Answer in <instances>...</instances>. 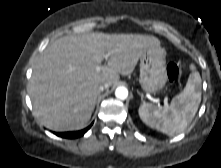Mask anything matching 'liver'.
<instances>
[{
	"mask_svg": "<svg viewBox=\"0 0 221 168\" xmlns=\"http://www.w3.org/2000/svg\"><path fill=\"white\" fill-rule=\"evenodd\" d=\"M160 48L158 38L140 34L92 32L52 42L37 60L29 84L34 115L53 131L84 128L100 94L99 86L117 84L131 74L142 54ZM107 66H99L104 55Z\"/></svg>",
	"mask_w": 221,
	"mask_h": 168,
	"instance_id": "liver-1",
	"label": "liver"
}]
</instances>
